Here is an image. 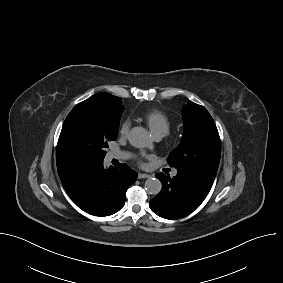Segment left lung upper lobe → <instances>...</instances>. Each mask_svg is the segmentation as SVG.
<instances>
[{
  "label": "left lung upper lobe",
  "instance_id": "5c2ea615",
  "mask_svg": "<svg viewBox=\"0 0 283 283\" xmlns=\"http://www.w3.org/2000/svg\"><path fill=\"white\" fill-rule=\"evenodd\" d=\"M184 133L167 161L211 187L219 166L221 141L216 124L205 107L192 101L182 108Z\"/></svg>",
  "mask_w": 283,
  "mask_h": 283
}]
</instances>
